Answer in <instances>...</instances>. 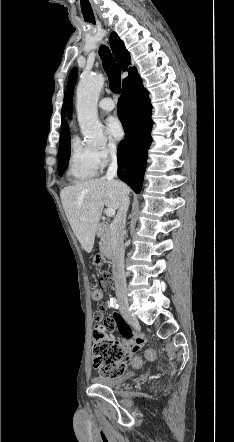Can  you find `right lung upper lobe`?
<instances>
[{"label": "right lung upper lobe", "instance_id": "cb5924a9", "mask_svg": "<svg viewBox=\"0 0 234 442\" xmlns=\"http://www.w3.org/2000/svg\"><path fill=\"white\" fill-rule=\"evenodd\" d=\"M110 46L119 66L123 71H126L127 67L130 65V53L126 50L124 43L120 40V38L115 32H113L110 36ZM127 71L129 75L123 80V82L126 81L131 76L137 74V70L135 67L129 68ZM61 115L62 117H66L64 105L62 107ZM69 140H70L69 126L67 121L62 118L59 146H63Z\"/></svg>", "mask_w": 234, "mask_h": 442}]
</instances>
